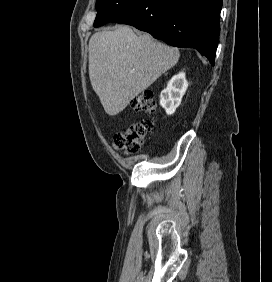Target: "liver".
<instances>
[{
    "label": "liver",
    "mask_w": 272,
    "mask_h": 282,
    "mask_svg": "<svg viewBox=\"0 0 272 282\" xmlns=\"http://www.w3.org/2000/svg\"><path fill=\"white\" fill-rule=\"evenodd\" d=\"M177 48L136 34L129 26L97 32L89 40V77L105 112L115 116L179 59Z\"/></svg>",
    "instance_id": "obj_1"
}]
</instances>
